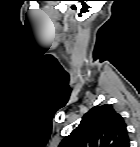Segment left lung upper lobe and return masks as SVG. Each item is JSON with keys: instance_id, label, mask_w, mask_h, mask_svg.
I'll return each mask as SVG.
<instances>
[{"instance_id": "obj_1", "label": "left lung upper lobe", "mask_w": 140, "mask_h": 147, "mask_svg": "<svg viewBox=\"0 0 140 147\" xmlns=\"http://www.w3.org/2000/svg\"><path fill=\"white\" fill-rule=\"evenodd\" d=\"M60 147H129L126 124L112 106H95Z\"/></svg>"}]
</instances>
